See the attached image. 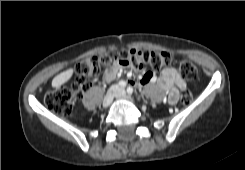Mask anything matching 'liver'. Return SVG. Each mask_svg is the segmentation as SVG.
I'll return each mask as SVG.
<instances>
[{"label":"liver","instance_id":"obj_1","mask_svg":"<svg viewBox=\"0 0 245 170\" xmlns=\"http://www.w3.org/2000/svg\"><path fill=\"white\" fill-rule=\"evenodd\" d=\"M74 69H68L57 76H55L52 80V87L57 88L64 83H66L73 75Z\"/></svg>","mask_w":245,"mask_h":170}]
</instances>
